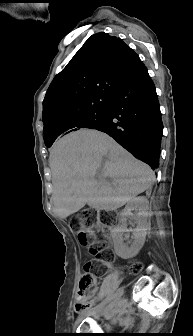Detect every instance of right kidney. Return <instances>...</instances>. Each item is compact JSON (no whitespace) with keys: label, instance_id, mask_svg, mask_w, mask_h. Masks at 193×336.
Segmentation results:
<instances>
[{"label":"right kidney","instance_id":"right-kidney-1","mask_svg":"<svg viewBox=\"0 0 193 336\" xmlns=\"http://www.w3.org/2000/svg\"><path fill=\"white\" fill-rule=\"evenodd\" d=\"M149 202L146 197H135L125 206L124 210L119 214V224L116 228L118 237V246L121 248L122 257H133L138 254L143 247L146 234H147V218H148ZM132 211H135L136 228L133 230V242L128 245L125 244L123 233L126 231V217L132 215Z\"/></svg>","mask_w":193,"mask_h":336}]
</instances>
